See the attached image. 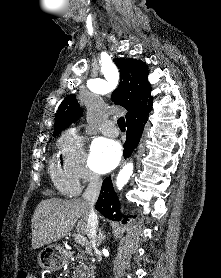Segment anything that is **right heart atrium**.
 Wrapping results in <instances>:
<instances>
[{
	"mask_svg": "<svg viewBox=\"0 0 221 278\" xmlns=\"http://www.w3.org/2000/svg\"><path fill=\"white\" fill-rule=\"evenodd\" d=\"M60 149L65 167L76 181L90 183L97 180L85 148L76 130L65 133L60 139Z\"/></svg>",
	"mask_w": 221,
	"mask_h": 278,
	"instance_id": "obj_1",
	"label": "right heart atrium"
}]
</instances>
